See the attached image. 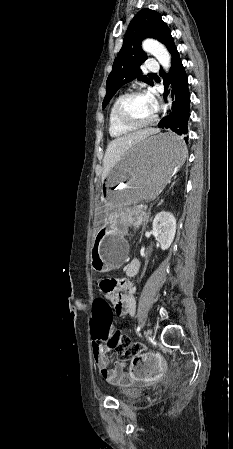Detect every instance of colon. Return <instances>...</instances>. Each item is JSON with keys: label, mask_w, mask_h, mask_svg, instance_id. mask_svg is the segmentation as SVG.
Instances as JSON below:
<instances>
[{"label": "colon", "mask_w": 233, "mask_h": 449, "mask_svg": "<svg viewBox=\"0 0 233 449\" xmlns=\"http://www.w3.org/2000/svg\"><path fill=\"white\" fill-rule=\"evenodd\" d=\"M93 308L92 319L89 320L90 332L93 334L92 348L116 350L121 357L132 359L134 370L141 368L143 359L140 353L143 350V345L132 343L127 335L122 334L119 330H113L110 324L114 318V311L111 310L107 301H94Z\"/></svg>", "instance_id": "1"}]
</instances>
